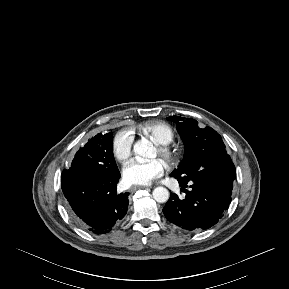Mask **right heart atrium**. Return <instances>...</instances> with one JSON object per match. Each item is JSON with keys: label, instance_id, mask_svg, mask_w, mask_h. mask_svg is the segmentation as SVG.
Wrapping results in <instances>:
<instances>
[{"label": "right heart atrium", "instance_id": "1", "mask_svg": "<svg viewBox=\"0 0 289 289\" xmlns=\"http://www.w3.org/2000/svg\"><path fill=\"white\" fill-rule=\"evenodd\" d=\"M134 137L129 130L118 131L112 139V153L120 161H125L131 154Z\"/></svg>", "mask_w": 289, "mask_h": 289}]
</instances>
